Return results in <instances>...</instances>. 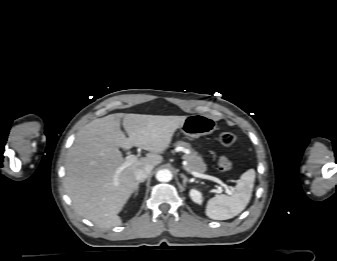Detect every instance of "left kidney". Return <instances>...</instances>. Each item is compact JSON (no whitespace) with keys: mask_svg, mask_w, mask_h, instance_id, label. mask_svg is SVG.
I'll use <instances>...</instances> for the list:
<instances>
[{"mask_svg":"<svg viewBox=\"0 0 337 261\" xmlns=\"http://www.w3.org/2000/svg\"><path fill=\"white\" fill-rule=\"evenodd\" d=\"M190 197L194 202H196L198 204H202L203 199H202V195L199 191H197L195 189L190 190Z\"/></svg>","mask_w":337,"mask_h":261,"instance_id":"1","label":"left kidney"}]
</instances>
